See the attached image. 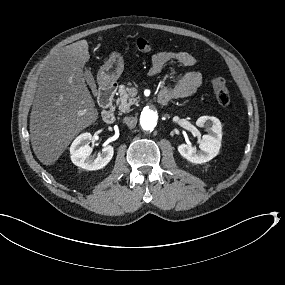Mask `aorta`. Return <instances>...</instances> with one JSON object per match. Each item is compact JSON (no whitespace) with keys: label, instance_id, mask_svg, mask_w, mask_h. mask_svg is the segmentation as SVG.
I'll list each match as a JSON object with an SVG mask.
<instances>
[{"label":"aorta","instance_id":"762f6f07","mask_svg":"<svg viewBox=\"0 0 285 285\" xmlns=\"http://www.w3.org/2000/svg\"><path fill=\"white\" fill-rule=\"evenodd\" d=\"M139 123L143 130L149 133H156L164 127L166 116L160 108L149 106L141 112Z\"/></svg>","mask_w":285,"mask_h":285}]
</instances>
